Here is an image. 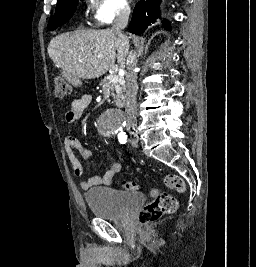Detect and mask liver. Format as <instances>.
Here are the masks:
<instances>
[{
  "label": "liver",
  "instance_id": "liver-1",
  "mask_svg": "<svg viewBox=\"0 0 256 267\" xmlns=\"http://www.w3.org/2000/svg\"><path fill=\"white\" fill-rule=\"evenodd\" d=\"M49 58L67 72L69 80L100 78L115 66L125 68L129 42L112 30H81L55 36L48 48Z\"/></svg>",
  "mask_w": 256,
  "mask_h": 267
}]
</instances>
